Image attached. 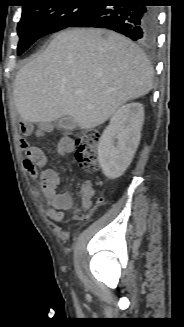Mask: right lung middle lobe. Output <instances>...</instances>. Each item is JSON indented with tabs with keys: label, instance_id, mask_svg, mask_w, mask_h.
I'll use <instances>...</instances> for the list:
<instances>
[{
	"label": "right lung middle lobe",
	"instance_id": "right-lung-middle-lobe-1",
	"mask_svg": "<svg viewBox=\"0 0 184 327\" xmlns=\"http://www.w3.org/2000/svg\"><path fill=\"white\" fill-rule=\"evenodd\" d=\"M45 3L38 2L22 9V17L17 26L18 55L38 38L70 27L93 7V5H45Z\"/></svg>",
	"mask_w": 184,
	"mask_h": 327
}]
</instances>
